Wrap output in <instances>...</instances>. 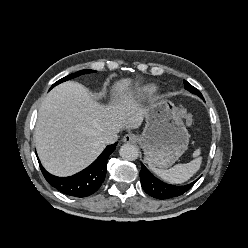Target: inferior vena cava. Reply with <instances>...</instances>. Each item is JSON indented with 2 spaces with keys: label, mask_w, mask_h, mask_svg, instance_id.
<instances>
[{
  "label": "inferior vena cava",
  "mask_w": 248,
  "mask_h": 248,
  "mask_svg": "<svg viewBox=\"0 0 248 248\" xmlns=\"http://www.w3.org/2000/svg\"><path fill=\"white\" fill-rule=\"evenodd\" d=\"M118 139L117 134H107L103 137L102 142L105 144H112Z\"/></svg>",
  "instance_id": "inferior-vena-cava-1"
}]
</instances>
